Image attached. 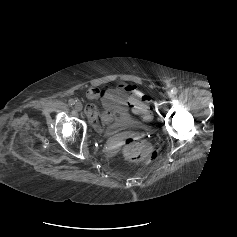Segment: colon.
I'll use <instances>...</instances> for the list:
<instances>
[{
	"label": "colon",
	"instance_id": "1",
	"mask_svg": "<svg viewBox=\"0 0 237 237\" xmlns=\"http://www.w3.org/2000/svg\"><path fill=\"white\" fill-rule=\"evenodd\" d=\"M124 155L135 162H151L157 157V151L144 139L128 137L124 144Z\"/></svg>",
	"mask_w": 237,
	"mask_h": 237
}]
</instances>
